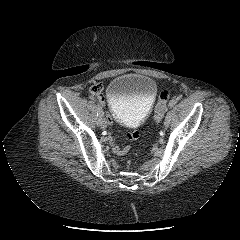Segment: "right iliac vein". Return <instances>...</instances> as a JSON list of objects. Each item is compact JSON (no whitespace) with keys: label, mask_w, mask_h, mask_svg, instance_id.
<instances>
[{"label":"right iliac vein","mask_w":240,"mask_h":240,"mask_svg":"<svg viewBox=\"0 0 240 240\" xmlns=\"http://www.w3.org/2000/svg\"><path fill=\"white\" fill-rule=\"evenodd\" d=\"M99 125L102 129H105L107 127V122L104 117L101 118Z\"/></svg>","instance_id":"right-iliac-vein-1"}]
</instances>
